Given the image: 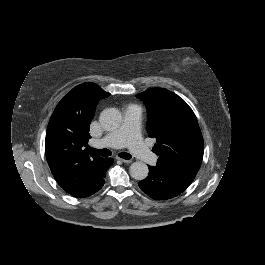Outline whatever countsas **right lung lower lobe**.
I'll return each instance as SVG.
<instances>
[{"instance_id":"1","label":"right lung lower lobe","mask_w":265,"mask_h":265,"mask_svg":"<svg viewBox=\"0 0 265 265\" xmlns=\"http://www.w3.org/2000/svg\"><path fill=\"white\" fill-rule=\"evenodd\" d=\"M112 163H113V159L112 158H107V165H108L107 169L112 165ZM103 178H101L99 180V182L97 183V185L93 189H91L89 191H86V192H81V193L74 194L73 196L74 197H78V198H84V197L92 195L93 193L97 192L99 189L102 188V186L104 184V179Z\"/></svg>"}]
</instances>
